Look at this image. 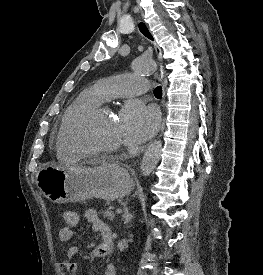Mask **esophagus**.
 Masks as SVG:
<instances>
[{"label":"esophagus","mask_w":263,"mask_h":275,"mask_svg":"<svg viewBox=\"0 0 263 275\" xmlns=\"http://www.w3.org/2000/svg\"><path fill=\"white\" fill-rule=\"evenodd\" d=\"M137 29H138V32L154 46L156 57H157V60L159 62V80L162 83V89H163L162 106H164L167 80L164 78L162 51L159 48V46L156 44V41H155L154 37L150 33V31H149V29H148V27L145 23L139 22L138 26H137ZM160 127H161V122H160L159 129H160Z\"/></svg>","instance_id":"obj_1"}]
</instances>
